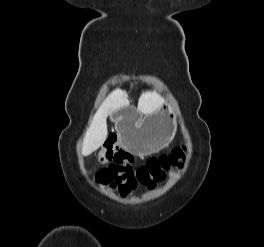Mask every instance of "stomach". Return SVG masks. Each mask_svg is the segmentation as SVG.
I'll use <instances>...</instances> for the list:
<instances>
[{
    "label": "stomach",
    "mask_w": 264,
    "mask_h": 247,
    "mask_svg": "<svg viewBox=\"0 0 264 247\" xmlns=\"http://www.w3.org/2000/svg\"><path fill=\"white\" fill-rule=\"evenodd\" d=\"M169 106L139 118L128 108H120L111 115L119 127L122 144L131 152L150 155L166 147L173 137L175 120Z\"/></svg>",
    "instance_id": "0dacf381"
}]
</instances>
